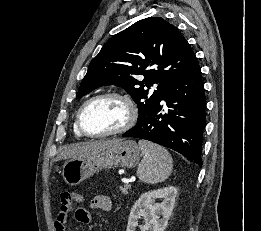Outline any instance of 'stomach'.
Masks as SVG:
<instances>
[{
	"instance_id": "1",
	"label": "stomach",
	"mask_w": 261,
	"mask_h": 231,
	"mask_svg": "<svg viewBox=\"0 0 261 231\" xmlns=\"http://www.w3.org/2000/svg\"><path fill=\"white\" fill-rule=\"evenodd\" d=\"M142 152L133 140H119L107 149L81 159H69L62 166V177L70 186H76L102 169L112 166L134 168Z\"/></svg>"
}]
</instances>
